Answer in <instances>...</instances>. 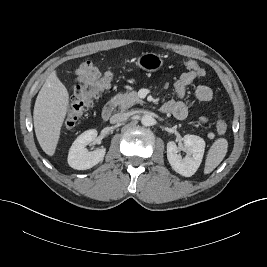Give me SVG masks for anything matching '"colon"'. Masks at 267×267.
<instances>
[{
    "label": "colon",
    "instance_id": "colon-1",
    "mask_svg": "<svg viewBox=\"0 0 267 267\" xmlns=\"http://www.w3.org/2000/svg\"><path fill=\"white\" fill-rule=\"evenodd\" d=\"M184 65L187 69L195 71L199 76L205 75L204 70L195 60H186ZM112 81L113 74L111 72H106L91 85H77L64 118V127L66 129L73 128L78 123L79 119L91 109L94 100L98 98L100 93L110 87ZM216 128L219 134H224L226 132L227 123L222 117L218 118Z\"/></svg>",
    "mask_w": 267,
    "mask_h": 267
}]
</instances>
